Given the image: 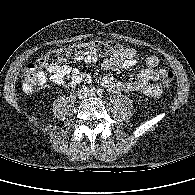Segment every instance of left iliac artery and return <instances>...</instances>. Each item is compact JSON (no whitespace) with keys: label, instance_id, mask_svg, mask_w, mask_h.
<instances>
[{"label":"left iliac artery","instance_id":"44dca946","mask_svg":"<svg viewBox=\"0 0 195 195\" xmlns=\"http://www.w3.org/2000/svg\"><path fill=\"white\" fill-rule=\"evenodd\" d=\"M102 90L101 89H99L98 91H97V94L99 95V96H101L102 95Z\"/></svg>","mask_w":195,"mask_h":195}]
</instances>
